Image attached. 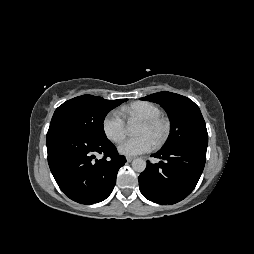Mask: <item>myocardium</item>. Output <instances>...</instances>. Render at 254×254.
<instances>
[{
    "instance_id": "1",
    "label": "myocardium",
    "mask_w": 254,
    "mask_h": 254,
    "mask_svg": "<svg viewBox=\"0 0 254 254\" xmlns=\"http://www.w3.org/2000/svg\"><path fill=\"white\" fill-rule=\"evenodd\" d=\"M142 123L149 127H156V126L162 127V133L155 141V144L157 146L163 144L169 137L170 129H171L170 122L166 118L162 117L161 115L152 117V118L143 119Z\"/></svg>"
}]
</instances>
